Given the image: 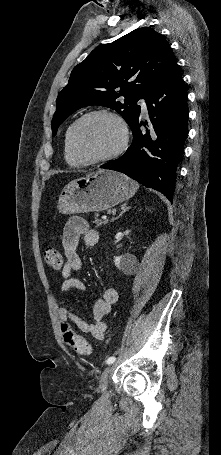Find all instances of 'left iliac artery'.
I'll list each match as a JSON object with an SVG mask.
<instances>
[{"label": "left iliac artery", "instance_id": "44dca946", "mask_svg": "<svg viewBox=\"0 0 221 455\" xmlns=\"http://www.w3.org/2000/svg\"><path fill=\"white\" fill-rule=\"evenodd\" d=\"M115 359H116V358L113 357V356H112V357H109V358L106 360V364H112V363H114V362H115Z\"/></svg>", "mask_w": 221, "mask_h": 455}]
</instances>
